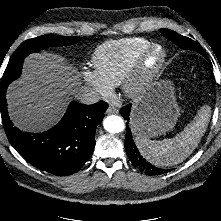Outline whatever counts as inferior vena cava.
<instances>
[{
  "label": "inferior vena cava",
  "mask_w": 221,
  "mask_h": 221,
  "mask_svg": "<svg viewBox=\"0 0 221 221\" xmlns=\"http://www.w3.org/2000/svg\"><path fill=\"white\" fill-rule=\"evenodd\" d=\"M77 99L83 104H95L101 97L97 91L90 87H82L76 95Z\"/></svg>",
  "instance_id": "1"
}]
</instances>
